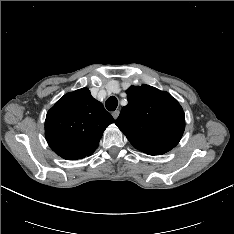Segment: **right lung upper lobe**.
I'll use <instances>...</instances> for the list:
<instances>
[{"label": "right lung upper lobe", "mask_w": 234, "mask_h": 234, "mask_svg": "<svg viewBox=\"0 0 234 234\" xmlns=\"http://www.w3.org/2000/svg\"><path fill=\"white\" fill-rule=\"evenodd\" d=\"M113 122L102 103L82 88L65 94L48 111L45 137L56 154L77 160L95 151L104 130Z\"/></svg>", "instance_id": "cb5924a9"}]
</instances>
